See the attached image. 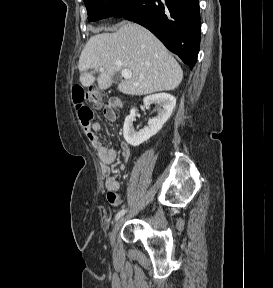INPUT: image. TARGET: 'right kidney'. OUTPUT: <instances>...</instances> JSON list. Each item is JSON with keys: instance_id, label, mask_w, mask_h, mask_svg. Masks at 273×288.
I'll return each instance as SVG.
<instances>
[{"instance_id": "obj_1", "label": "right kidney", "mask_w": 273, "mask_h": 288, "mask_svg": "<svg viewBox=\"0 0 273 288\" xmlns=\"http://www.w3.org/2000/svg\"><path fill=\"white\" fill-rule=\"evenodd\" d=\"M143 102L147 107L153 103L157 104L159 107L158 115L149 121L148 126L137 132L133 126L136 117V109L132 108L130 110V114L124 121L123 136L126 142L134 147L149 140L162 129L163 125L172 114L176 105V98L168 93H158L145 97Z\"/></svg>"}]
</instances>
